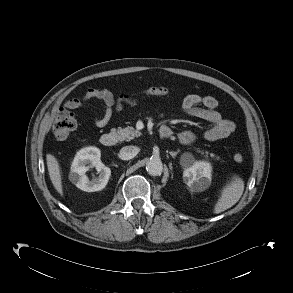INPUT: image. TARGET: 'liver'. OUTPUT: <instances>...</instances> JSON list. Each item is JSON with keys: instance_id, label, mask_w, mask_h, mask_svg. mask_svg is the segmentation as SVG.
<instances>
[{"instance_id": "6515ba94", "label": "liver", "mask_w": 293, "mask_h": 293, "mask_svg": "<svg viewBox=\"0 0 293 293\" xmlns=\"http://www.w3.org/2000/svg\"><path fill=\"white\" fill-rule=\"evenodd\" d=\"M46 161L50 180L56 191L60 195H63L62 178L59 163L55 156H53L52 154L46 155Z\"/></svg>"}]
</instances>
